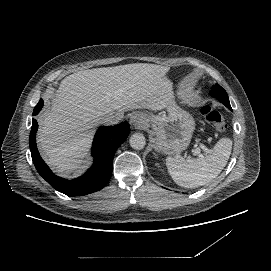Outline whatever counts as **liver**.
Returning a JSON list of instances; mask_svg holds the SVG:
<instances>
[{
    "instance_id": "liver-1",
    "label": "liver",
    "mask_w": 271,
    "mask_h": 271,
    "mask_svg": "<svg viewBox=\"0 0 271 271\" xmlns=\"http://www.w3.org/2000/svg\"><path fill=\"white\" fill-rule=\"evenodd\" d=\"M169 67L133 63L78 71L65 77L52 95L51 107L39 119L38 148L57 173L82 168L97 118L121 119L133 109L162 110L172 95Z\"/></svg>"
}]
</instances>
